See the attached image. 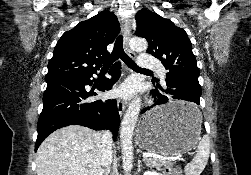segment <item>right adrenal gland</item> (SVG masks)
<instances>
[{"label": "right adrenal gland", "mask_w": 251, "mask_h": 175, "mask_svg": "<svg viewBox=\"0 0 251 175\" xmlns=\"http://www.w3.org/2000/svg\"><path fill=\"white\" fill-rule=\"evenodd\" d=\"M108 173H110V169H109V167H106L105 173H102V175H108Z\"/></svg>", "instance_id": "1"}]
</instances>
